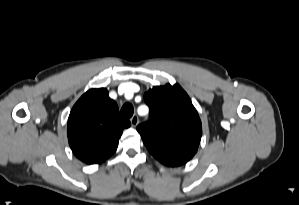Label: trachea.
Here are the masks:
<instances>
[{
	"instance_id": "trachea-1",
	"label": "trachea",
	"mask_w": 299,
	"mask_h": 205,
	"mask_svg": "<svg viewBox=\"0 0 299 205\" xmlns=\"http://www.w3.org/2000/svg\"><path fill=\"white\" fill-rule=\"evenodd\" d=\"M133 113H134V108H133L132 104L126 103L122 106V108H121L122 117L130 118V117H132Z\"/></svg>"
}]
</instances>
